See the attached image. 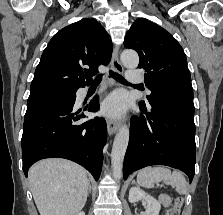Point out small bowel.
Masks as SVG:
<instances>
[{"label": "small bowel", "mask_w": 223, "mask_h": 215, "mask_svg": "<svg viewBox=\"0 0 223 215\" xmlns=\"http://www.w3.org/2000/svg\"><path fill=\"white\" fill-rule=\"evenodd\" d=\"M160 202L165 206V207H169L171 205V199L163 194L160 196Z\"/></svg>", "instance_id": "obj_1"}]
</instances>
